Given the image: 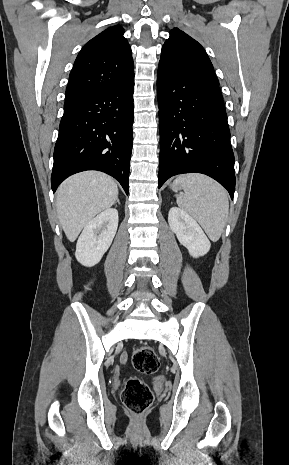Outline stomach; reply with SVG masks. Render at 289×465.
<instances>
[{"mask_svg":"<svg viewBox=\"0 0 289 465\" xmlns=\"http://www.w3.org/2000/svg\"><path fill=\"white\" fill-rule=\"evenodd\" d=\"M171 188L174 190V184L171 185ZM181 189L180 187H177V190Z\"/></svg>","mask_w":289,"mask_h":465,"instance_id":"0dacf381","label":"stomach"}]
</instances>
